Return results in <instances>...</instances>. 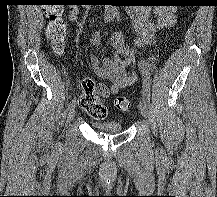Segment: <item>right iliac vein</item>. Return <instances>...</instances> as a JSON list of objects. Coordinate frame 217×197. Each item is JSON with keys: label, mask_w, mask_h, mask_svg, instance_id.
<instances>
[{"label": "right iliac vein", "mask_w": 217, "mask_h": 197, "mask_svg": "<svg viewBox=\"0 0 217 197\" xmlns=\"http://www.w3.org/2000/svg\"><path fill=\"white\" fill-rule=\"evenodd\" d=\"M75 114H76V110H75V106H73L72 108H70L69 111V115H68L69 121L74 119Z\"/></svg>", "instance_id": "obj_1"}]
</instances>
